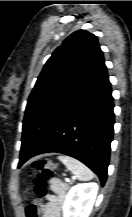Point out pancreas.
<instances>
[{"instance_id":"1","label":"pancreas","mask_w":132,"mask_h":217,"mask_svg":"<svg viewBox=\"0 0 132 217\" xmlns=\"http://www.w3.org/2000/svg\"><path fill=\"white\" fill-rule=\"evenodd\" d=\"M69 188V186L68 185H65L64 186V188H63V190H62V195H65V192H66V190Z\"/></svg>"}]
</instances>
